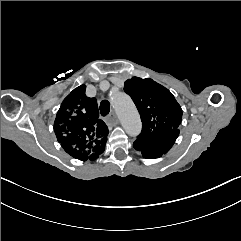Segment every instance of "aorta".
<instances>
[{"label":"aorta","mask_w":241,"mask_h":241,"mask_svg":"<svg viewBox=\"0 0 241 241\" xmlns=\"http://www.w3.org/2000/svg\"><path fill=\"white\" fill-rule=\"evenodd\" d=\"M111 104L126 133L130 136L138 135L142 125L139 113L131 98L125 93H116L111 96Z\"/></svg>","instance_id":"1"}]
</instances>
